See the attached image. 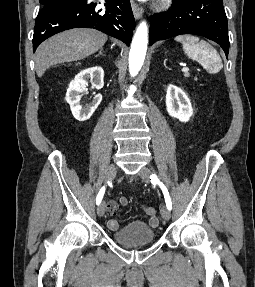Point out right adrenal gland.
I'll list each match as a JSON object with an SVG mask.
<instances>
[{
	"label": "right adrenal gland",
	"instance_id": "1",
	"mask_svg": "<svg viewBox=\"0 0 255 287\" xmlns=\"http://www.w3.org/2000/svg\"><path fill=\"white\" fill-rule=\"evenodd\" d=\"M98 56H105V54H103L102 50H100L99 54H97V56H95V58H98Z\"/></svg>",
	"mask_w": 255,
	"mask_h": 287
}]
</instances>
